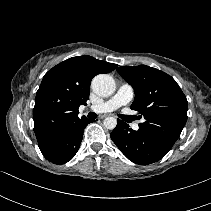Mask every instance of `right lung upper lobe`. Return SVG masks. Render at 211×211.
<instances>
[{
    "label": "right lung upper lobe",
    "mask_w": 211,
    "mask_h": 211,
    "mask_svg": "<svg viewBox=\"0 0 211 211\" xmlns=\"http://www.w3.org/2000/svg\"><path fill=\"white\" fill-rule=\"evenodd\" d=\"M116 67V64L91 56H77L49 70L37 91L33 110L37 141L84 118L78 117V109L80 105H86L89 99L92 78L97 74L111 72Z\"/></svg>",
    "instance_id": "1"
}]
</instances>
